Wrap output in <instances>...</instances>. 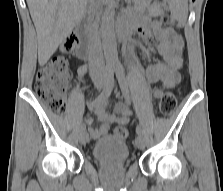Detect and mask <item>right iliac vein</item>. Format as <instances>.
<instances>
[{
	"label": "right iliac vein",
	"instance_id": "right-iliac-vein-1",
	"mask_svg": "<svg viewBox=\"0 0 223 191\" xmlns=\"http://www.w3.org/2000/svg\"><path fill=\"white\" fill-rule=\"evenodd\" d=\"M94 85H95V88L97 90H100V89H102L105 86V81L102 80V79L95 80L94 81ZM79 140H80V143L82 145H85L88 142L89 136H88V133L85 130L84 131H80Z\"/></svg>",
	"mask_w": 223,
	"mask_h": 191
}]
</instances>
